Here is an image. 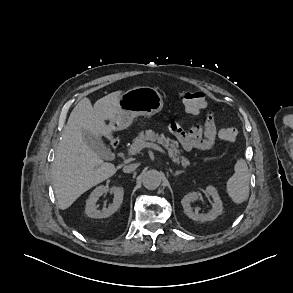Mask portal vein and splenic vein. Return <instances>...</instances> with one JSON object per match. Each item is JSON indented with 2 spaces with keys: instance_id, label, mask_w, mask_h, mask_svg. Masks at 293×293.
<instances>
[{
  "instance_id": "portal-vein-and-splenic-vein-1",
  "label": "portal vein and splenic vein",
  "mask_w": 293,
  "mask_h": 293,
  "mask_svg": "<svg viewBox=\"0 0 293 293\" xmlns=\"http://www.w3.org/2000/svg\"><path fill=\"white\" fill-rule=\"evenodd\" d=\"M143 148H151V149L157 150V151H159V152H161L163 154H166L165 150L162 147H160L157 144L149 143V142L135 145L134 147H132L129 150V154L134 155L137 152L141 151Z\"/></svg>"
}]
</instances>
